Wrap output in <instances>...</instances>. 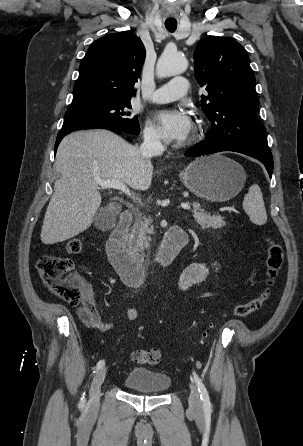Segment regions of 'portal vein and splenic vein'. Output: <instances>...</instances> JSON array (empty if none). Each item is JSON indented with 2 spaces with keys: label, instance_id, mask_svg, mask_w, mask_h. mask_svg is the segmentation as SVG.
Returning a JSON list of instances; mask_svg holds the SVG:
<instances>
[{
  "label": "portal vein and splenic vein",
  "instance_id": "obj_1",
  "mask_svg": "<svg viewBox=\"0 0 303 446\" xmlns=\"http://www.w3.org/2000/svg\"><path fill=\"white\" fill-rule=\"evenodd\" d=\"M98 185L102 188H112V189H118L121 192L125 193L127 196L135 199L134 195L130 192L129 188L122 182L118 180H101L97 179ZM140 202V200H139ZM181 207L185 210H190V205L188 203H181Z\"/></svg>",
  "mask_w": 303,
  "mask_h": 446
}]
</instances>
